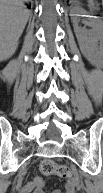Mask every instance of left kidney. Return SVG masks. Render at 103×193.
Segmentation results:
<instances>
[{"mask_svg": "<svg viewBox=\"0 0 103 193\" xmlns=\"http://www.w3.org/2000/svg\"><path fill=\"white\" fill-rule=\"evenodd\" d=\"M86 11L81 7H75L71 10V16L75 23V35L84 57L94 66L101 67L103 64V47H102V22L97 17L91 16V21L87 24L92 28L87 30L78 27V16H84Z\"/></svg>", "mask_w": 103, "mask_h": 193, "instance_id": "obj_1", "label": "left kidney"}]
</instances>
